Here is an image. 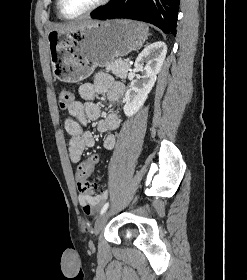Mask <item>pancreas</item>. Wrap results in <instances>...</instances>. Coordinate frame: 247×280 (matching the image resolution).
<instances>
[{
	"label": "pancreas",
	"mask_w": 247,
	"mask_h": 280,
	"mask_svg": "<svg viewBox=\"0 0 247 280\" xmlns=\"http://www.w3.org/2000/svg\"><path fill=\"white\" fill-rule=\"evenodd\" d=\"M129 68V63L121 58L115 59L112 63L106 66L107 70L112 71L114 75L121 79L126 78Z\"/></svg>",
	"instance_id": "pancreas-1"
}]
</instances>
